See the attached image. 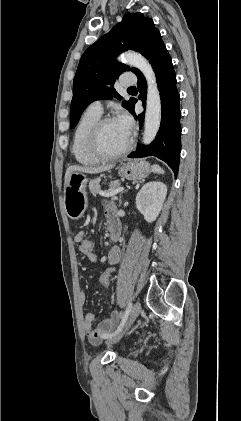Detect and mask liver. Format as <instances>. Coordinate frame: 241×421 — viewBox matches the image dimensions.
Returning <instances> with one entry per match:
<instances>
[{
    "label": "liver",
    "mask_w": 241,
    "mask_h": 421,
    "mask_svg": "<svg viewBox=\"0 0 241 421\" xmlns=\"http://www.w3.org/2000/svg\"><path fill=\"white\" fill-rule=\"evenodd\" d=\"M114 164L105 165V166H97V167H89V166H69L65 173V185L67 184L70 175L73 172H81V173H87V174H98L102 173L104 171L110 170L114 167Z\"/></svg>",
    "instance_id": "obj_1"
}]
</instances>
